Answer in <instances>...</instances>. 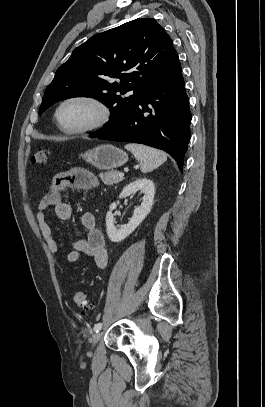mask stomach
I'll return each mask as SVG.
<instances>
[{"label": "stomach", "instance_id": "1", "mask_svg": "<svg viewBox=\"0 0 265 407\" xmlns=\"http://www.w3.org/2000/svg\"><path fill=\"white\" fill-rule=\"evenodd\" d=\"M82 158L100 170H112L128 161V155L123 150L109 144L86 151Z\"/></svg>", "mask_w": 265, "mask_h": 407}]
</instances>
